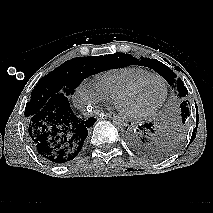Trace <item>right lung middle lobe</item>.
<instances>
[{"label":"right lung middle lobe","instance_id":"dd1d6c3e","mask_svg":"<svg viewBox=\"0 0 213 213\" xmlns=\"http://www.w3.org/2000/svg\"><path fill=\"white\" fill-rule=\"evenodd\" d=\"M119 53L105 56L77 57L64 62L39 80L31 93V99L25 108V117L36 114L52 97L63 94L73 95L75 88L87 77L110 69L113 58ZM113 68V67H112Z\"/></svg>","mask_w":213,"mask_h":213}]
</instances>
